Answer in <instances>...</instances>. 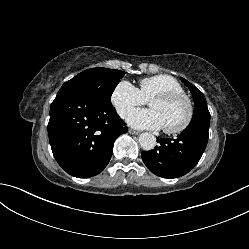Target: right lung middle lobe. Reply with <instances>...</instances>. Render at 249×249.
I'll list each match as a JSON object with an SVG mask.
<instances>
[{
	"mask_svg": "<svg viewBox=\"0 0 249 249\" xmlns=\"http://www.w3.org/2000/svg\"><path fill=\"white\" fill-rule=\"evenodd\" d=\"M125 72L108 68L85 70L65 82L60 90L80 92L91 99L111 106V95Z\"/></svg>",
	"mask_w": 249,
	"mask_h": 249,
	"instance_id": "1",
	"label": "right lung middle lobe"
}]
</instances>
